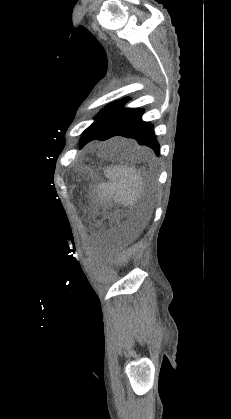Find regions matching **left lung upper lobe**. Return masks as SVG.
<instances>
[{
	"label": "left lung upper lobe",
	"instance_id": "1",
	"mask_svg": "<svg viewBox=\"0 0 231 419\" xmlns=\"http://www.w3.org/2000/svg\"><path fill=\"white\" fill-rule=\"evenodd\" d=\"M124 101H126V98L116 101L114 103H111L110 105L106 106L97 117H95V121L83 132L80 142L85 138V136L106 116L108 115L114 108H116L118 105L122 104Z\"/></svg>",
	"mask_w": 231,
	"mask_h": 419
}]
</instances>
